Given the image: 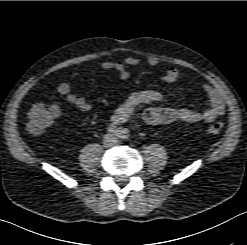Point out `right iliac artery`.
<instances>
[{
	"label": "right iliac artery",
	"mask_w": 247,
	"mask_h": 245,
	"mask_svg": "<svg viewBox=\"0 0 247 245\" xmlns=\"http://www.w3.org/2000/svg\"><path fill=\"white\" fill-rule=\"evenodd\" d=\"M107 131H109L110 133L115 134V135H119V134L121 133L120 128H117V127L114 126V125L108 126V127H107Z\"/></svg>",
	"instance_id": "obj_1"
}]
</instances>
